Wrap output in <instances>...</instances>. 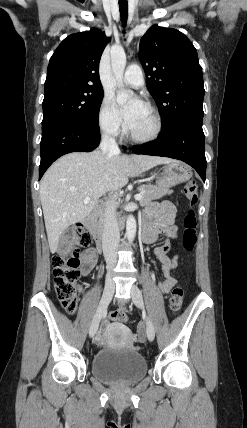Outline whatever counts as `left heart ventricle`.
Wrapping results in <instances>:
<instances>
[{
	"instance_id": "obj_1",
	"label": "left heart ventricle",
	"mask_w": 247,
	"mask_h": 428,
	"mask_svg": "<svg viewBox=\"0 0 247 428\" xmlns=\"http://www.w3.org/2000/svg\"><path fill=\"white\" fill-rule=\"evenodd\" d=\"M154 129V119L150 111L146 108L136 124L130 129L138 136H146Z\"/></svg>"
}]
</instances>
